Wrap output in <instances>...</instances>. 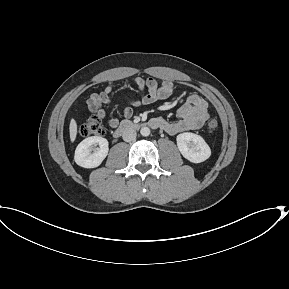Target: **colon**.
<instances>
[{
  "mask_svg": "<svg viewBox=\"0 0 289 289\" xmlns=\"http://www.w3.org/2000/svg\"><path fill=\"white\" fill-rule=\"evenodd\" d=\"M218 128V121L216 118H210L206 124V130L209 135L215 133ZM79 132L82 136H99L104 133V129L100 118L96 115L91 116L85 123L80 126Z\"/></svg>",
  "mask_w": 289,
  "mask_h": 289,
  "instance_id": "obj_1",
  "label": "colon"
}]
</instances>
